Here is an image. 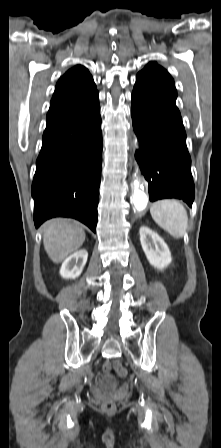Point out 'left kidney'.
<instances>
[{
  "label": "left kidney",
  "instance_id": "5707ae66",
  "mask_svg": "<svg viewBox=\"0 0 221 448\" xmlns=\"http://www.w3.org/2000/svg\"><path fill=\"white\" fill-rule=\"evenodd\" d=\"M140 242L149 263L158 270H163L171 261L170 250L165 241L146 226L140 228Z\"/></svg>",
  "mask_w": 221,
  "mask_h": 448
}]
</instances>
